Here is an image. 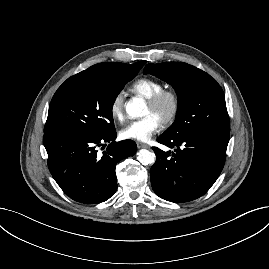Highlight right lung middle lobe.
<instances>
[{"instance_id":"1","label":"right lung middle lobe","mask_w":269,"mask_h":269,"mask_svg":"<svg viewBox=\"0 0 269 269\" xmlns=\"http://www.w3.org/2000/svg\"><path fill=\"white\" fill-rule=\"evenodd\" d=\"M136 72H80L68 78L54 94L44 134L81 131L103 136L115 131L112 106Z\"/></svg>"}]
</instances>
